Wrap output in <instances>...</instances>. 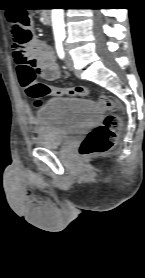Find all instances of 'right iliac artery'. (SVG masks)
Returning <instances> with one entry per match:
<instances>
[{"label": "right iliac artery", "instance_id": "right-iliac-artery-1", "mask_svg": "<svg viewBox=\"0 0 145 278\" xmlns=\"http://www.w3.org/2000/svg\"><path fill=\"white\" fill-rule=\"evenodd\" d=\"M62 41L63 39L62 38H56L55 39V42H56V50H57V53L59 55V57L61 59L64 58L65 54H64V50H63V47H62Z\"/></svg>", "mask_w": 145, "mask_h": 278}]
</instances>
